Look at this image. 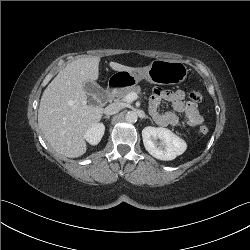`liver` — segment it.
<instances>
[{
    "mask_svg": "<svg viewBox=\"0 0 250 250\" xmlns=\"http://www.w3.org/2000/svg\"><path fill=\"white\" fill-rule=\"evenodd\" d=\"M100 57H85L66 65L43 92L38 110V123L50 146L70 158L87 150L86 131L97 124L103 108L87 104L84 86L99 76ZM109 66L115 71L134 68L117 62Z\"/></svg>",
    "mask_w": 250,
    "mask_h": 250,
    "instance_id": "6515ba94",
    "label": "liver"
}]
</instances>
